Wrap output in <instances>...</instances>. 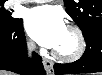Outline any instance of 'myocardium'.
Returning a JSON list of instances; mask_svg holds the SVG:
<instances>
[{
    "label": "myocardium",
    "instance_id": "1",
    "mask_svg": "<svg viewBox=\"0 0 102 75\" xmlns=\"http://www.w3.org/2000/svg\"><path fill=\"white\" fill-rule=\"evenodd\" d=\"M66 29L71 31L76 36L77 43H78L76 50L71 54H63V53H60V52L54 50L53 54L57 59H59L63 62H73V61L79 59L85 52L86 39H85V36H84L82 30L78 26H76L74 24H68L66 26Z\"/></svg>",
    "mask_w": 102,
    "mask_h": 75
}]
</instances>
